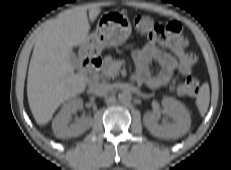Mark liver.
<instances>
[{
	"label": "liver",
	"mask_w": 231,
	"mask_h": 170,
	"mask_svg": "<svg viewBox=\"0 0 231 170\" xmlns=\"http://www.w3.org/2000/svg\"><path fill=\"white\" fill-rule=\"evenodd\" d=\"M100 12L96 6L89 9L91 22ZM89 30L87 8L80 6L48 21L39 33L27 78L28 103L37 124L46 125L64 101L85 91L87 82L74 73L71 52L86 42Z\"/></svg>",
	"instance_id": "liver-1"
}]
</instances>
